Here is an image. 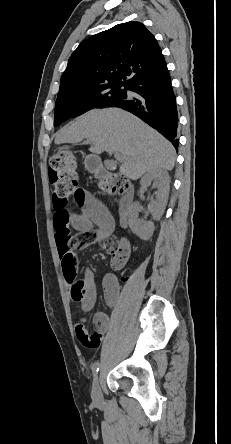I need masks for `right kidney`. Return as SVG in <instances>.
Here are the masks:
<instances>
[{"instance_id":"1","label":"right kidney","mask_w":231,"mask_h":444,"mask_svg":"<svg viewBox=\"0 0 231 444\" xmlns=\"http://www.w3.org/2000/svg\"><path fill=\"white\" fill-rule=\"evenodd\" d=\"M153 181V186L157 187L155 192V200H152L149 205V211L153 215L154 220H160L164 213L169 191H170V177L165 170L156 169L146 173L140 181L142 187L148 185ZM140 211L139 203L136 202L132 205L129 214V226L134 234L143 240H148L154 232V223L151 221H144L138 218Z\"/></svg>"}]
</instances>
